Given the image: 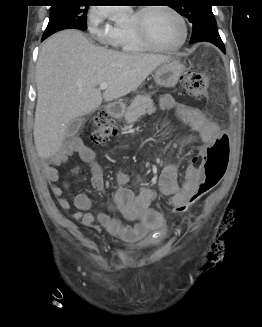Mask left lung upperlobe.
I'll return each instance as SVG.
<instances>
[{"label": "left lung upper lobe", "mask_w": 262, "mask_h": 327, "mask_svg": "<svg viewBox=\"0 0 262 327\" xmlns=\"http://www.w3.org/2000/svg\"><path fill=\"white\" fill-rule=\"evenodd\" d=\"M201 3L203 4L192 6L173 5V8L192 23L194 30L200 24H204L206 18L214 16L211 6L206 4L204 0H202Z\"/></svg>", "instance_id": "left-lung-upper-lobe-1"}]
</instances>
